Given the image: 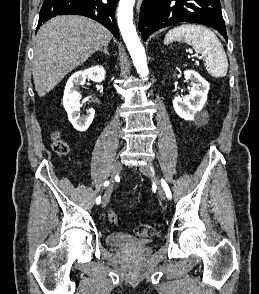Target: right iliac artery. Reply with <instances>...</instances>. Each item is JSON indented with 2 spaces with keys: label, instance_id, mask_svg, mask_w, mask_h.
Here are the masks:
<instances>
[{
  "label": "right iliac artery",
  "instance_id": "right-iliac-artery-1",
  "mask_svg": "<svg viewBox=\"0 0 259 294\" xmlns=\"http://www.w3.org/2000/svg\"><path fill=\"white\" fill-rule=\"evenodd\" d=\"M108 185H109V181H106V182L104 183V186H108ZM100 202H101V196H99V197L96 198V203H97V204H100Z\"/></svg>",
  "mask_w": 259,
  "mask_h": 294
}]
</instances>
